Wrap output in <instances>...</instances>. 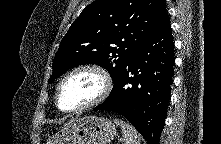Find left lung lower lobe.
<instances>
[{
	"instance_id": "left-lung-lower-lobe-1",
	"label": "left lung lower lobe",
	"mask_w": 221,
	"mask_h": 144,
	"mask_svg": "<svg viewBox=\"0 0 221 144\" xmlns=\"http://www.w3.org/2000/svg\"><path fill=\"white\" fill-rule=\"evenodd\" d=\"M174 43L167 14L135 52L114 82L108 98L94 110L124 116L148 144H159L174 75Z\"/></svg>"
}]
</instances>
